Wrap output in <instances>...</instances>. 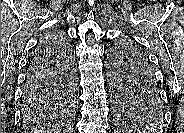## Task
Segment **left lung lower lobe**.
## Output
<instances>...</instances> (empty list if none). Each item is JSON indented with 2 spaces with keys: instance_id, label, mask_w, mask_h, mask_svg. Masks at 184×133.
<instances>
[{
  "instance_id": "left-lung-lower-lobe-1",
  "label": "left lung lower lobe",
  "mask_w": 184,
  "mask_h": 133,
  "mask_svg": "<svg viewBox=\"0 0 184 133\" xmlns=\"http://www.w3.org/2000/svg\"><path fill=\"white\" fill-rule=\"evenodd\" d=\"M138 86H141L145 89L149 88L151 89L152 91H155L158 95H160V92H159V87L158 85L156 84H152V85H147L146 81H142V83H140ZM161 96V95H160ZM130 120H132L131 118H129ZM134 123H136L134 120H132ZM137 124V123H136Z\"/></svg>"
}]
</instances>
